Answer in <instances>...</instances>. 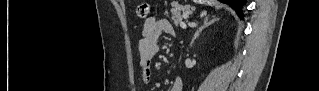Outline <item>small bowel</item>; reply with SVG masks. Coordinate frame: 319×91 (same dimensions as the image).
Returning <instances> with one entry per match:
<instances>
[{
  "mask_svg": "<svg viewBox=\"0 0 319 91\" xmlns=\"http://www.w3.org/2000/svg\"><path fill=\"white\" fill-rule=\"evenodd\" d=\"M174 30L166 18L149 17L144 22L141 38L138 42L139 67L141 78L148 83L153 74V60L159 52L158 39L163 34H173ZM170 91H181L182 81L179 77L172 81Z\"/></svg>",
  "mask_w": 319,
  "mask_h": 91,
  "instance_id": "obj_1",
  "label": "small bowel"
}]
</instances>
